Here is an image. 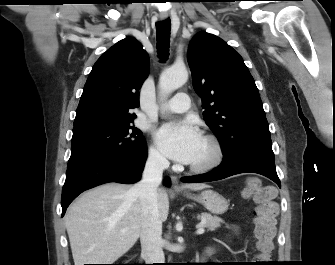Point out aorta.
Returning a JSON list of instances; mask_svg holds the SVG:
<instances>
[{
	"label": "aorta",
	"instance_id": "762f6f07",
	"mask_svg": "<svg viewBox=\"0 0 335 265\" xmlns=\"http://www.w3.org/2000/svg\"><path fill=\"white\" fill-rule=\"evenodd\" d=\"M188 79V71L185 66L171 67L162 72L159 79V89L163 96L169 95Z\"/></svg>",
	"mask_w": 335,
	"mask_h": 265
}]
</instances>
